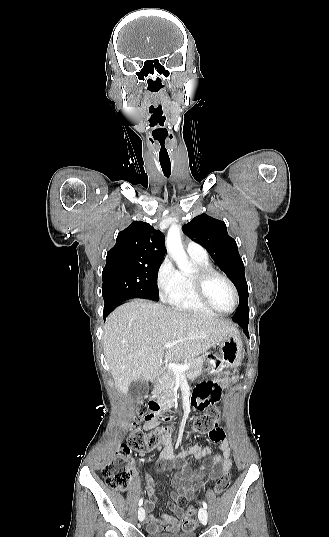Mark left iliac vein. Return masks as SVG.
<instances>
[{
    "label": "left iliac vein",
    "mask_w": 329,
    "mask_h": 537,
    "mask_svg": "<svg viewBox=\"0 0 329 537\" xmlns=\"http://www.w3.org/2000/svg\"><path fill=\"white\" fill-rule=\"evenodd\" d=\"M198 518L200 520V522L203 524V525H206L207 524V521H208V513L206 511L205 508H200L199 509V512H198Z\"/></svg>",
    "instance_id": "4c4485c4"
}]
</instances>
